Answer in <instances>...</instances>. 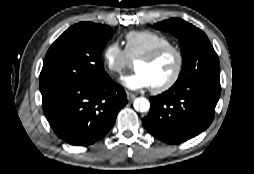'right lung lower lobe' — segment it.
Instances as JSON below:
<instances>
[{"label":"right lung lower lobe","instance_id":"1","mask_svg":"<svg viewBox=\"0 0 254 174\" xmlns=\"http://www.w3.org/2000/svg\"><path fill=\"white\" fill-rule=\"evenodd\" d=\"M42 94L45 117L56 135L74 146L103 138L114 126L126 93L109 76L96 83L59 86Z\"/></svg>","mask_w":254,"mask_h":174}]
</instances>
